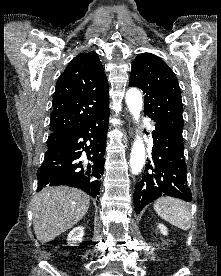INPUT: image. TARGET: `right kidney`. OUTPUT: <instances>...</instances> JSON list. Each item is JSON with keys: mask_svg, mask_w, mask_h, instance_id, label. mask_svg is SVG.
Returning a JSON list of instances; mask_svg holds the SVG:
<instances>
[{"mask_svg": "<svg viewBox=\"0 0 221 276\" xmlns=\"http://www.w3.org/2000/svg\"><path fill=\"white\" fill-rule=\"evenodd\" d=\"M84 236V227L78 226L75 227L70 233L68 234L67 241L68 244H76L80 243Z\"/></svg>", "mask_w": 221, "mask_h": 276, "instance_id": "right-kidney-1", "label": "right kidney"}]
</instances>
